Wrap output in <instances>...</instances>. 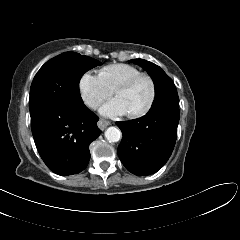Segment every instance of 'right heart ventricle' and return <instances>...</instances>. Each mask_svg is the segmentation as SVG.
I'll return each mask as SVG.
<instances>
[{"label": "right heart ventricle", "mask_w": 240, "mask_h": 240, "mask_svg": "<svg viewBox=\"0 0 240 240\" xmlns=\"http://www.w3.org/2000/svg\"><path fill=\"white\" fill-rule=\"evenodd\" d=\"M139 74H141V71L138 68L125 63L107 65L99 72V76L112 90H115L124 81Z\"/></svg>", "instance_id": "1"}]
</instances>
